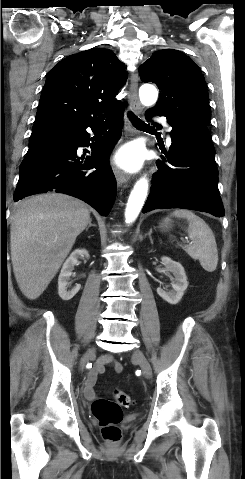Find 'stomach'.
Segmentation results:
<instances>
[{"mask_svg": "<svg viewBox=\"0 0 245 479\" xmlns=\"http://www.w3.org/2000/svg\"><path fill=\"white\" fill-rule=\"evenodd\" d=\"M169 224H170V220L165 219L164 222L162 223V226L167 228Z\"/></svg>", "mask_w": 245, "mask_h": 479, "instance_id": "obj_1", "label": "stomach"}]
</instances>
